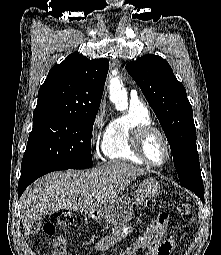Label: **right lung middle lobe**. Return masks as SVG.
<instances>
[{
	"label": "right lung middle lobe",
	"mask_w": 221,
	"mask_h": 255,
	"mask_svg": "<svg viewBox=\"0 0 221 255\" xmlns=\"http://www.w3.org/2000/svg\"><path fill=\"white\" fill-rule=\"evenodd\" d=\"M97 112L34 114L21 169L30 165L90 168L92 126Z\"/></svg>",
	"instance_id": "1"
}]
</instances>
